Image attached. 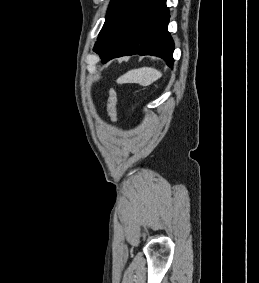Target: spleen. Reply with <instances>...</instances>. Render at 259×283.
I'll return each mask as SVG.
<instances>
[{
    "mask_svg": "<svg viewBox=\"0 0 259 283\" xmlns=\"http://www.w3.org/2000/svg\"><path fill=\"white\" fill-rule=\"evenodd\" d=\"M161 75V72L154 68L142 67L127 72L120 78V81L123 83H138L142 86H148L158 80Z\"/></svg>",
    "mask_w": 259,
    "mask_h": 283,
    "instance_id": "obj_1",
    "label": "spleen"
}]
</instances>
